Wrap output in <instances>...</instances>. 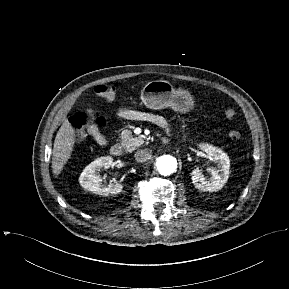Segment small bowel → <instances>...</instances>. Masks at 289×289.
<instances>
[{
	"mask_svg": "<svg viewBox=\"0 0 289 289\" xmlns=\"http://www.w3.org/2000/svg\"><path fill=\"white\" fill-rule=\"evenodd\" d=\"M89 114L91 116L93 115L92 110H89ZM118 115L119 117L128 120H147L162 128H167L168 126L166 120L162 116L144 113L130 107L120 108ZM88 133L99 145H105L107 143L106 137L100 132L99 128L92 125L88 128Z\"/></svg>",
	"mask_w": 289,
	"mask_h": 289,
	"instance_id": "small-bowel-1",
	"label": "small bowel"
}]
</instances>
